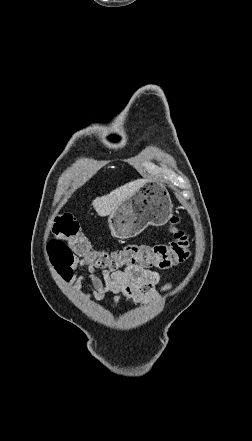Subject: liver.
<instances>
[{
    "mask_svg": "<svg viewBox=\"0 0 252 441\" xmlns=\"http://www.w3.org/2000/svg\"><path fill=\"white\" fill-rule=\"evenodd\" d=\"M147 182L146 179H138L131 181L109 194L97 197L93 200L92 205L98 215L104 217L110 215L119 204L132 196L139 188Z\"/></svg>",
    "mask_w": 252,
    "mask_h": 441,
    "instance_id": "1",
    "label": "liver"
}]
</instances>
